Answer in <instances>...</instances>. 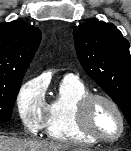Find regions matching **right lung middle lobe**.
Masks as SVG:
<instances>
[{
	"instance_id": "dd1d6c3e",
	"label": "right lung middle lobe",
	"mask_w": 131,
	"mask_h": 151,
	"mask_svg": "<svg viewBox=\"0 0 131 151\" xmlns=\"http://www.w3.org/2000/svg\"><path fill=\"white\" fill-rule=\"evenodd\" d=\"M22 78L0 77V123H5L11 118Z\"/></svg>"
}]
</instances>
